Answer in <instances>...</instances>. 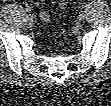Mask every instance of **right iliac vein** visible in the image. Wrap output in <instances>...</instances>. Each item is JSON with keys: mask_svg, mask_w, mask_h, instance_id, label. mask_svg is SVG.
Wrapping results in <instances>:
<instances>
[{"mask_svg": "<svg viewBox=\"0 0 111 106\" xmlns=\"http://www.w3.org/2000/svg\"><path fill=\"white\" fill-rule=\"evenodd\" d=\"M27 23L32 25L34 23V17L32 15L27 16Z\"/></svg>", "mask_w": 111, "mask_h": 106, "instance_id": "right-iliac-vein-1", "label": "right iliac vein"}]
</instances>
